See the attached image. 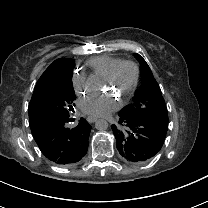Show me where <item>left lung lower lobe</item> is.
Wrapping results in <instances>:
<instances>
[{"instance_id": "obj_1", "label": "left lung lower lobe", "mask_w": 208, "mask_h": 208, "mask_svg": "<svg viewBox=\"0 0 208 208\" xmlns=\"http://www.w3.org/2000/svg\"><path fill=\"white\" fill-rule=\"evenodd\" d=\"M119 120L112 125L120 155L132 163H143L161 149L167 128L156 121L119 112Z\"/></svg>"}]
</instances>
